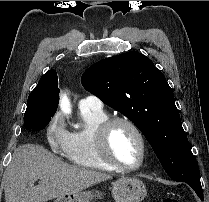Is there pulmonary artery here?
<instances>
[{
  "label": "pulmonary artery",
  "instance_id": "pulmonary-artery-1",
  "mask_svg": "<svg viewBox=\"0 0 209 202\" xmlns=\"http://www.w3.org/2000/svg\"><path fill=\"white\" fill-rule=\"evenodd\" d=\"M103 106L102 101L100 98L94 95H88L81 98L78 102V107L80 109H94V110H101Z\"/></svg>",
  "mask_w": 209,
  "mask_h": 202
}]
</instances>
